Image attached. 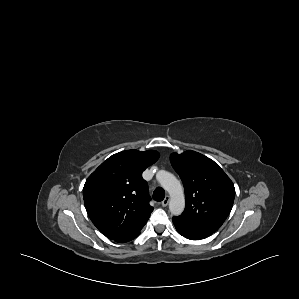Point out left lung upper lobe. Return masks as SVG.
I'll return each instance as SVG.
<instances>
[{"label": "left lung upper lobe", "instance_id": "obj_1", "mask_svg": "<svg viewBox=\"0 0 299 299\" xmlns=\"http://www.w3.org/2000/svg\"><path fill=\"white\" fill-rule=\"evenodd\" d=\"M170 159L182 179L186 196L185 210L177 218L188 228L211 235L232 209V181L213 160L198 152L172 153Z\"/></svg>", "mask_w": 299, "mask_h": 299}]
</instances>
